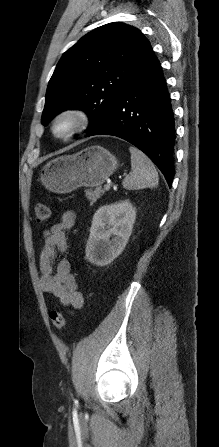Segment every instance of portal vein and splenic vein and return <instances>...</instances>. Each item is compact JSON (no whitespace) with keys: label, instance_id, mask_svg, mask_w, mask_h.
Segmentation results:
<instances>
[{"label":"portal vein and splenic vein","instance_id":"18ae733b","mask_svg":"<svg viewBox=\"0 0 219 447\" xmlns=\"http://www.w3.org/2000/svg\"><path fill=\"white\" fill-rule=\"evenodd\" d=\"M104 189L105 190H109L110 189V184L109 183L104 184Z\"/></svg>","mask_w":219,"mask_h":447}]
</instances>
